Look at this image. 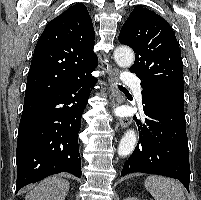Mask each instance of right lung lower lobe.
Segmentation results:
<instances>
[{"mask_svg": "<svg viewBox=\"0 0 201 200\" xmlns=\"http://www.w3.org/2000/svg\"><path fill=\"white\" fill-rule=\"evenodd\" d=\"M96 81L88 72L61 89L25 98L16 149V193L60 172L81 177L78 133Z\"/></svg>", "mask_w": 201, "mask_h": 200, "instance_id": "obj_1", "label": "right lung lower lobe"}]
</instances>
